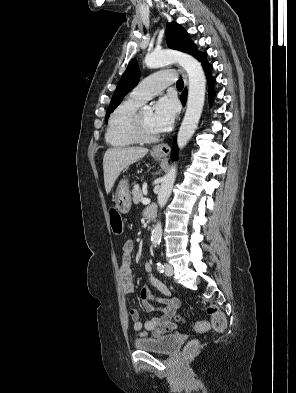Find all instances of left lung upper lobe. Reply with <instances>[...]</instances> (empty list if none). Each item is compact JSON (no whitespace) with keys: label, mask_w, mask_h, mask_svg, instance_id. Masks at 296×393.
Segmentation results:
<instances>
[{"label":"left lung upper lobe","mask_w":296,"mask_h":393,"mask_svg":"<svg viewBox=\"0 0 296 393\" xmlns=\"http://www.w3.org/2000/svg\"><path fill=\"white\" fill-rule=\"evenodd\" d=\"M166 39L167 45L171 49L186 52L196 57L197 59H199L204 54L197 50L195 44L191 41L187 32L175 22L167 24ZM138 81L139 68L136 60L133 59L128 65L126 71L122 75L116 87L108 110L106 112V122L110 113L119 105L125 94L137 85Z\"/></svg>","instance_id":"left-lung-upper-lobe-1"}]
</instances>
